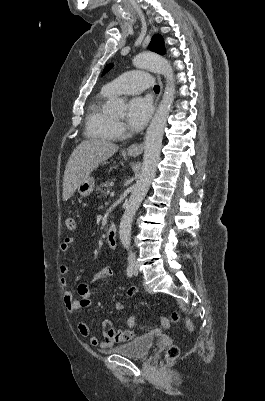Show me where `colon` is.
I'll return each instance as SVG.
<instances>
[{
  "label": "colon",
  "instance_id": "5ec220e1",
  "mask_svg": "<svg viewBox=\"0 0 265 401\" xmlns=\"http://www.w3.org/2000/svg\"><path fill=\"white\" fill-rule=\"evenodd\" d=\"M65 225L67 227L68 230L73 231L76 228V220L73 216H67L65 219ZM184 320L186 326L188 329H192V322L187 319V318H183L180 313L174 311L171 313L170 318H166V317H162L161 318V325L163 327H166L169 325V322H173V323H178L179 321ZM136 323V319L135 316H130L128 319V324L130 327H133ZM131 335L133 336V332H131ZM179 354V350L176 346H171L167 349L166 352V356L167 359L172 360L175 359Z\"/></svg>",
  "mask_w": 265,
  "mask_h": 401
}]
</instances>
